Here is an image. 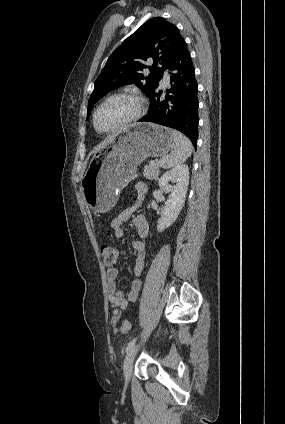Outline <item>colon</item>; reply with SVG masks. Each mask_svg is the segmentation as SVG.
<instances>
[{
  "mask_svg": "<svg viewBox=\"0 0 285 424\" xmlns=\"http://www.w3.org/2000/svg\"><path fill=\"white\" fill-rule=\"evenodd\" d=\"M100 252L106 265L115 264L120 255L119 250L116 247L109 245H102ZM120 328L123 332H128L130 331L131 326L128 321L124 320L121 322Z\"/></svg>",
  "mask_w": 285,
  "mask_h": 424,
  "instance_id": "5ec220e1",
  "label": "colon"
}]
</instances>
